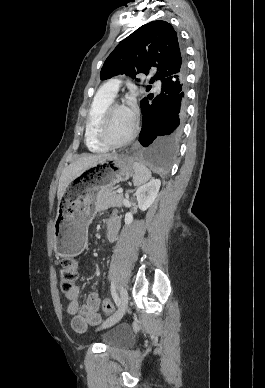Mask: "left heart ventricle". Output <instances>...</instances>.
Returning a JSON list of instances; mask_svg holds the SVG:
<instances>
[{
  "mask_svg": "<svg viewBox=\"0 0 265 388\" xmlns=\"http://www.w3.org/2000/svg\"><path fill=\"white\" fill-rule=\"evenodd\" d=\"M131 126L132 122L128 118L125 108H117L107 117L105 133L111 139H121L130 131Z\"/></svg>",
  "mask_w": 265,
  "mask_h": 388,
  "instance_id": "obj_1",
  "label": "left heart ventricle"
}]
</instances>
